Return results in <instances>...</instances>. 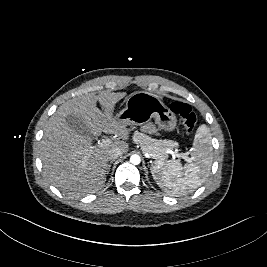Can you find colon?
<instances>
[{
  "instance_id": "5ec220e1",
  "label": "colon",
  "mask_w": 267,
  "mask_h": 267,
  "mask_svg": "<svg viewBox=\"0 0 267 267\" xmlns=\"http://www.w3.org/2000/svg\"><path fill=\"white\" fill-rule=\"evenodd\" d=\"M171 110L179 116L187 133H191L197 122L198 115L188 104L175 101L170 106Z\"/></svg>"
}]
</instances>
